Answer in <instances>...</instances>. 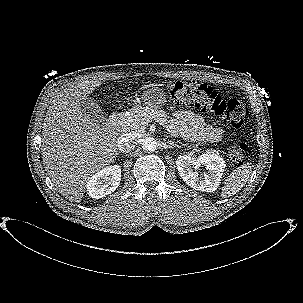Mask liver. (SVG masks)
Instances as JSON below:
<instances>
[{
    "instance_id": "1",
    "label": "liver",
    "mask_w": 303,
    "mask_h": 303,
    "mask_svg": "<svg viewBox=\"0 0 303 303\" xmlns=\"http://www.w3.org/2000/svg\"><path fill=\"white\" fill-rule=\"evenodd\" d=\"M101 82L82 80L57 92L44 119L43 164L56 189L71 202H81L90 176L117 155V132L81 110L83 102L96 106L89 96Z\"/></svg>"
}]
</instances>
